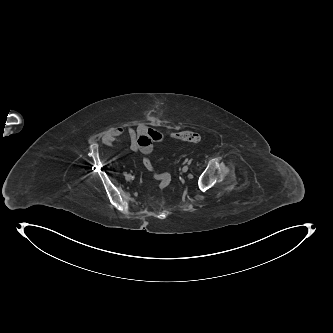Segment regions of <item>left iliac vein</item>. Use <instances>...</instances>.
I'll use <instances>...</instances> for the list:
<instances>
[{
    "mask_svg": "<svg viewBox=\"0 0 333 333\" xmlns=\"http://www.w3.org/2000/svg\"><path fill=\"white\" fill-rule=\"evenodd\" d=\"M188 169H189V167L186 165V166H184V167L182 168V172L185 173V172L188 171Z\"/></svg>",
    "mask_w": 333,
    "mask_h": 333,
    "instance_id": "obj_1",
    "label": "left iliac vein"
}]
</instances>
